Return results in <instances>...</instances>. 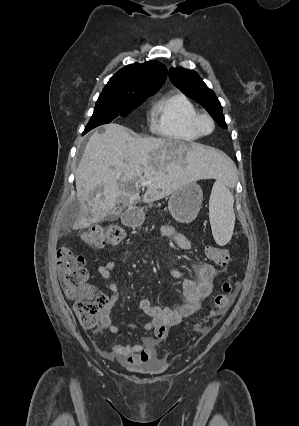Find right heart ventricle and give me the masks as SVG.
<instances>
[{
	"label": "right heart ventricle",
	"mask_w": 299,
	"mask_h": 426,
	"mask_svg": "<svg viewBox=\"0 0 299 426\" xmlns=\"http://www.w3.org/2000/svg\"><path fill=\"white\" fill-rule=\"evenodd\" d=\"M197 113L194 103L181 92H170L160 97L151 112L152 130L167 139L192 142L200 135L192 127Z\"/></svg>",
	"instance_id": "obj_1"
}]
</instances>
